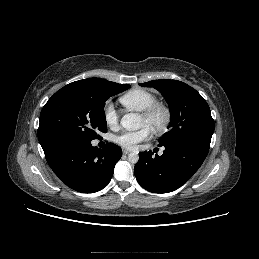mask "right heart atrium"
<instances>
[{"label": "right heart atrium", "mask_w": 259, "mask_h": 259, "mask_svg": "<svg viewBox=\"0 0 259 259\" xmlns=\"http://www.w3.org/2000/svg\"><path fill=\"white\" fill-rule=\"evenodd\" d=\"M103 117L110 128H116L119 122V115L112 102L108 101L103 107Z\"/></svg>", "instance_id": "obj_1"}]
</instances>
